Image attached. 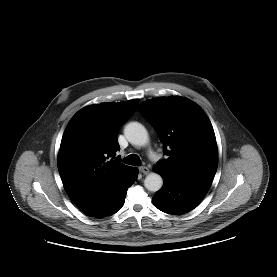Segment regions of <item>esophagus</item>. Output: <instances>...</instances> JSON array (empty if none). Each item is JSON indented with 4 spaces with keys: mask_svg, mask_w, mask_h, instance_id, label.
<instances>
[{
    "mask_svg": "<svg viewBox=\"0 0 277 277\" xmlns=\"http://www.w3.org/2000/svg\"><path fill=\"white\" fill-rule=\"evenodd\" d=\"M140 172H142L143 174H148L149 173V168L147 166H141L139 168Z\"/></svg>",
    "mask_w": 277,
    "mask_h": 277,
    "instance_id": "1",
    "label": "esophagus"
}]
</instances>
